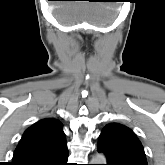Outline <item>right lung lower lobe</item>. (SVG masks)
<instances>
[{
    "label": "right lung lower lobe",
    "mask_w": 165,
    "mask_h": 165,
    "mask_svg": "<svg viewBox=\"0 0 165 165\" xmlns=\"http://www.w3.org/2000/svg\"><path fill=\"white\" fill-rule=\"evenodd\" d=\"M31 165H68L66 140H62L53 146L50 153Z\"/></svg>",
    "instance_id": "right-lung-lower-lobe-1"
}]
</instances>
